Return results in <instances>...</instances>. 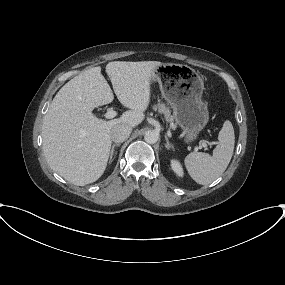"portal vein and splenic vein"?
Segmentation results:
<instances>
[{
  "mask_svg": "<svg viewBox=\"0 0 285 285\" xmlns=\"http://www.w3.org/2000/svg\"><path fill=\"white\" fill-rule=\"evenodd\" d=\"M117 115L116 111L114 110H109L107 113L104 115L106 119H113ZM203 147H207V144L205 142L202 143Z\"/></svg>",
  "mask_w": 285,
  "mask_h": 285,
  "instance_id": "1",
  "label": "portal vein and splenic vein"
}]
</instances>
